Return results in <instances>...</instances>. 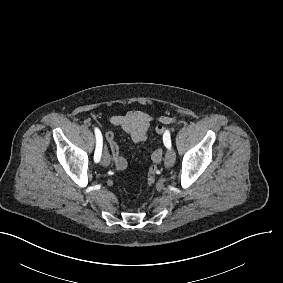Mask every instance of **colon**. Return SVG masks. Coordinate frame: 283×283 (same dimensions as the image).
I'll return each instance as SVG.
<instances>
[{"mask_svg":"<svg viewBox=\"0 0 283 283\" xmlns=\"http://www.w3.org/2000/svg\"><path fill=\"white\" fill-rule=\"evenodd\" d=\"M161 151L157 150L151 155V164L148 171L147 177V190L148 192L152 191L153 186L155 185L156 178L158 175V162H159V155Z\"/></svg>","mask_w":283,"mask_h":283,"instance_id":"colon-1","label":"colon"}]
</instances>
